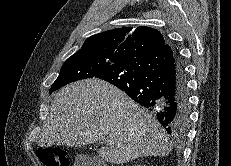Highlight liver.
Masks as SVG:
<instances>
[{
    "instance_id": "liver-1",
    "label": "liver",
    "mask_w": 231,
    "mask_h": 166,
    "mask_svg": "<svg viewBox=\"0 0 231 166\" xmlns=\"http://www.w3.org/2000/svg\"><path fill=\"white\" fill-rule=\"evenodd\" d=\"M105 139L102 160L124 164L143 156H167L171 143L156 117L112 84L92 78L58 91L37 143L82 146Z\"/></svg>"
}]
</instances>
